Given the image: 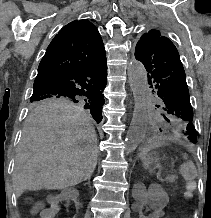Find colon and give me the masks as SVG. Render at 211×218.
Returning <instances> with one entry per match:
<instances>
[{
    "label": "colon",
    "mask_w": 211,
    "mask_h": 218,
    "mask_svg": "<svg viewBox=\"0 0 211 218\" xmlns=\"http://www.w3.org/2000/svg\"><path fill=\"white\" fill-rule=\"evenodd\" d=\"M193 189V185H190L189 186V189H188V195L190 194L191 190Z\"/></svg>",
    "instance_id": "colon-1"
}]
</instances>
